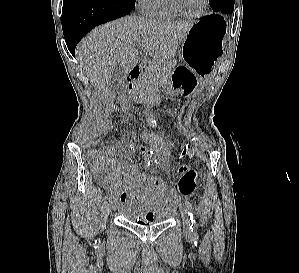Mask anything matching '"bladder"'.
<instances>
[{"label": "bladder", "mask_w": 299, "mask_h": 273, "mask_svg": "<svg viewBox=\"0 0 299 273\" xmlns=\"http://www.w3.org/2000/svg\"><path fill=\"white\" fill-rule=\"evenodd\" d=\"M171 210H154L152 213V217L150 219H144L142 215L134 210H127L123 213V217L126 221L140 225V226H149L155 224H163L167 222L171 217Z\"/></svg>", "instance_id": "obj_1"}]
</instances>
